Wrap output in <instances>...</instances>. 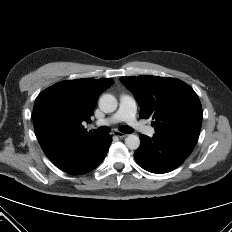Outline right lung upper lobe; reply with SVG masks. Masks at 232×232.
Returning <instances> with one entry per match:
<instances>
[{
  "mask_svg": "<svg viewBox=\"0 0 232 232\" xmlns=\"http://www.w3.org/2000/svg\"><path fill=\"white\" fill-rule=\"evenodd\" d=\"M113 83L112 79L62 81L37 96L33 108L34 130L47 157L96 136L87 132L82 122H91L99 95Z\"/></svg>",
  "mask_w": 232,
  "mask_h": 232,
  "instance_id": "1",
  "label": "right lung upper lobe"
}]
</instances>
